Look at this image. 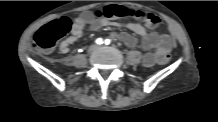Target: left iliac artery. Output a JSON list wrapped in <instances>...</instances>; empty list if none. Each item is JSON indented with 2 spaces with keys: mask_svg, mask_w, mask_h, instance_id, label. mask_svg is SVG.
I'll use <instances>...</instances> for the list:
<instances>
[{
  "mask_svg": "<svg viewBox=\"0 0 218 122\" xmlns=\"http://www.w3.org/2000/svg\"><path fill=\"white\" fill-rule=\"evenodd\" d=\"M110 43H111V40H110V39H106V40H105V44H106V45H109Z\"/></svg>",
  "mask_w": 218,
  "mask_h": 122,
  "instance_id": "obj_1",
  "label": "left iliac artery"
}]
</instances>
